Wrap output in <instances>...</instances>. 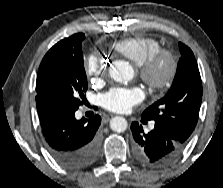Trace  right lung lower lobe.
<instances>
[{
  "label": "right lung lower lobe",
  "instance_id": "98d812e1",
  "mask_svg": "<svg viewBox=\"0 0 223 188\" xmlns=\"http://www.w3.org/2000/svg\"><path fill=\"white\" fill-rule=\"evenodd\" d=\"M78 107L37 105L42 133L47 149L63 167L84 169L93 164L100 153L98 128L101 117L87 120L75 118Z\"/></svg>",
  "mask_w": 223,
  "mask_h": 188
}]
</instances>
